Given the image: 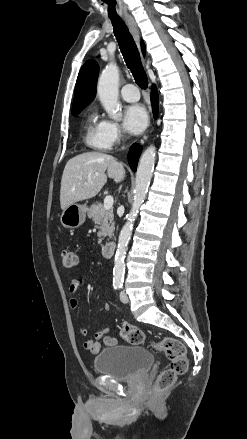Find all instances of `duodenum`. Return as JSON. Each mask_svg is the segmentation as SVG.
<instances>
[{
	"label": "duodenum",
	"instance_id": "410a0bca",
	"mask_svg": "<svg viewBox=\"0 0 247 439\" xmlns=\"http://www.w3.org/2000/svg\"><path fill=\"white\" fill-rule=\"evenodd\" d=\"M116 245L114 242H107L102 246V255L106 258L113 256Z\"/></svg>",
	"mask_w": 247,
	"mask_h": 439
}]
</instances>
